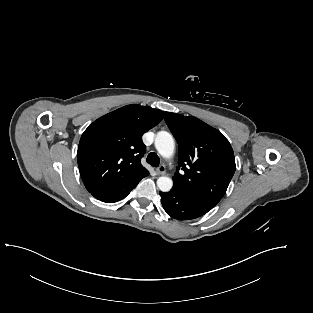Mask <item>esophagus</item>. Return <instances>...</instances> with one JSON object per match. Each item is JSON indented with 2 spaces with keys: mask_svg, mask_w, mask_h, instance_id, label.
<instances>
[{
  "mask_svg": "<svg viewBox=\"0 0 313 313\" xmlns=\"http://www.w3.org/2000/svg\"><path fill=\"white\" fill-rule=\"evenodd\" d=\"M156 172L158 175H163L166 172V167L164 165H160L157 169Z\"/></svg>",
  "mask_w": 313,
  "mask_h": 313,
  "instance_id": "1",
  "label": "esophagus"
}]
</instances>
